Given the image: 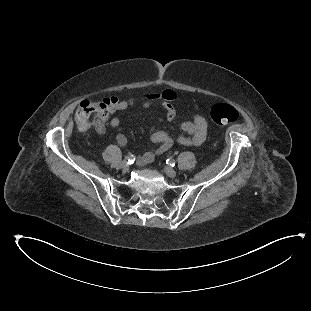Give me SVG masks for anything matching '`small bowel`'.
Here are the masks:
<instances>
[{
	"mask_svg": "<svg viewBox=\"0 0 311 311\" xmlns=\"http://www.w3.org/2000/svg\"><path fill=\"white\" fill-rule=\"evenodd\" d=\"M109 98V97H108ZM108 98L105 99V103L108 107ZM135 104L134 99H127V107L128 109L131 106ZM153 105H158L162 107L166 113V116L169 119H173L177 115V111L173 105H171L168 102H160V103H154L152 101H143L141 102L142 107H151ZM124 111V110H123ZM108 113L114 114L116 112H113L108 107ZM120 119L118 117H112L109 120V125L112 128H116L120 125ZM180 129L184 131L187 135H171L167 132L163 131H157L154 132L150 139L152 142L157 143L158 146L152 150H148L145 153L142 154V156L139 158L138 163L140 165H146L149 164L157 155L163 154L166 151H168L174 144H180L183 146H199L201 145L207 135V122L201 115H194L191 120L182 122L180 124ZM96 131L99 134H103L106 131V127L104 123L100 122L96 126ZM117 141L120 145L126 144V137L123 134H119L117 136Z\"/></svg>",
	"mask_w": 311,
	"mask_h": 311,
	"instance_id": "small-bowel-1",
	"label": "small bowel"
}]
</instances>
